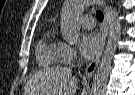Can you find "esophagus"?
Returning a JSON list of instances; mask_svg holds the SVG:
<instances>
[{"label": "esophagus", "instance_id": "obj_1", "mask_svg": "<svg viewBox=\"0 0 135 95\" xmlns=\"http://www.w3.org/2000/svg\"><path fill=\"white\" fill-rule=\"evenodd\" d=\"M101 32H102V47L100 52L96 55V57L89 63V65L86 67L84 72V78H90L94 72L96 67L98 66L99 60L101 58L102 52L104 50V45L107 37L108 32V20H107V14L105 12L104 14V20L101 26Z\"/></svg>", "mask_w": 135, "mask_h": 95}]
</instances>
